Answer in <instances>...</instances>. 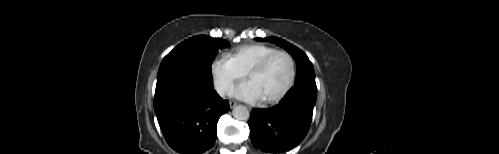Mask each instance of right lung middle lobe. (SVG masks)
<instances>
[{
  "label": "right lung middle lobe",
  "instance_id": "obj_1",
  "mask_svg": "<svg viewBox=\"0 0 499 154\" xmlns=\"http://www.w3.org/2000/svg\"><path fill=\"white\" fill-rule=\"evenodd\" d=\"M229 45L226 40L205 35L195 36L182 42L162 60L156 87L182 79H197L212 84L210 67L212 60L218 49Z\"/></svg>",
  "mask_w": 499,
  "mask_h": 154
}]
</instances>
